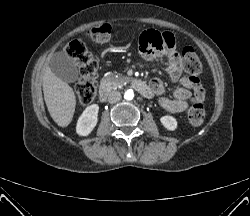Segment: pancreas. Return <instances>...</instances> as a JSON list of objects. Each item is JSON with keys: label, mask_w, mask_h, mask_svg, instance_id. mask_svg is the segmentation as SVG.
<instances>
[{"label": "pancreas", "mask_w": 250, "mask_h": 216, "mask_svg": "<svg viewBox=\"0 0 250 216\" xmlns=\"http://www.w3.org/2000/svg\"><path fill=\"white\" fill-rule=\"evenodd\" d=\"M130 78L122 75L108 74L102 82L110 89H115L123 83L129 81Z\"/></svg>", "instance_id": "1"}]
</instances>
